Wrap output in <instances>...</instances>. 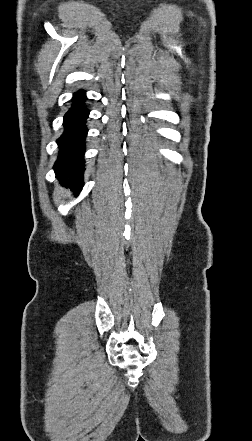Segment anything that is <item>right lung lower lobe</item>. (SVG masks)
I'll return each instance as SVG.
<instances>
[{"label": "right lung lower lobe", "mask_w": 252, "mask_h": 441, "mask_svg": "<svg viewBox=\"0 0 252 441\" xmlns=\"http://www.w3.org/2000/svg\"><path fill=\"white\" fill-rule=\"evenodd\" d=\"M84 91L74 94L72 106L64 116V133L57 140L60 148L54 165L59 181L80 192L83 187L84 152L87 128L85 126L89 110L84 104Z\"/></svg>", "instance_id": "obj_1"}]
</instances>
